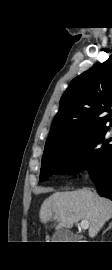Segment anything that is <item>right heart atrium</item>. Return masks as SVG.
<instances>
[{"mask_svg": "<svg viewBox=\"0 0 112 270\" xmlns=\"http://www.w3.org/2000/svg\"><path fill=\"white\" fill-rule=\"evenodd\" d=\"M83 161H84V157L82 155L76 156L73 160L74 167H80Z\"/></svg>", "mask_w": 112, "mask_h": 270, "instance_id": "right-heart-atrium-1", "label": "right heart atrium"}]
</instances>
